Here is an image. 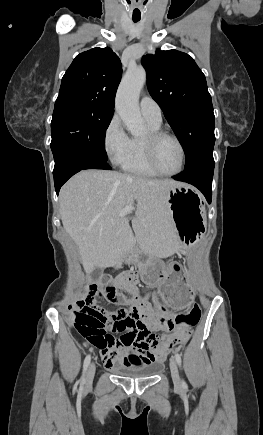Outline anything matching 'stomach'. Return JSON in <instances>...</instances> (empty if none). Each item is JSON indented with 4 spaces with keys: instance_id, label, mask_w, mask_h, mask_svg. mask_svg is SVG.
I'll return each instance as SVG.
<instances>
[{
    "instance_id": "obj_1",
    "label": "stomach",
    "mask_w": 263,
    "mask_h": 435,
    "mask_svg": "<svg viewBox=\"0 0 263 435\" xmlns=\"http://www.w3.org/2000/svg\"><path fill=\"white\" fill-rule=\"evenodd\" d=\"M170 218L173 220V233H179L182 247H195L202 233H206L209 217L204 216L201 195L191 186L181 184L171 188L167 196ZM128 263L142 267V281L156 288L157 297L165 310H187L192 292L187 285V260L166 259L163 264L155 256L147 253H132L126 258Z\"/></svg>"
}]
</instances>
